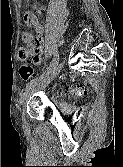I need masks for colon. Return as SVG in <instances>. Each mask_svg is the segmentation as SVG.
I'll use <instances>...</instances> for the list:
<instances>
[{
    "label": "colon",
    "instance_id": "obj_1",
    "mask_svg": "<svg viewBox=\"0 0 123 167\" xmlns=\"http://www.w3.org/2000/svg\"><path fill=\"white\" fill-rule=\"evenodd\" d=\"M18 58L21 62H23L19 70L20 77L24 81H29L35 76V72L32 66L28 63L29 50L27 47H24V46L19 47ZM86 91H87V87L84 84H76L68 88V92L70 93V95L75 98H80L84 96Z\"/></svg>",
    "mask_w": 123,
    "mask_h": 167
}]
</instances>
